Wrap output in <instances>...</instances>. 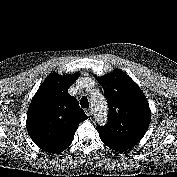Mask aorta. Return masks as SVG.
<instances>
[{
  "label": "aorta",
  "mask_w": 177,
  "mask_h": 177,
  "mask_svg": "<svg viewBox=\"0 0 177 177\" xmlns=\"http://www.w3.org/2000/svg\"><path fill=\"white\" fill-rule=\"evenodd\" d=\"M92 105L97 111V119L100 123L107 120V102L103 95L96 94L92 97Z\"/></svg>",
  "instance_id": "762f6f07"
}]
</instances>
